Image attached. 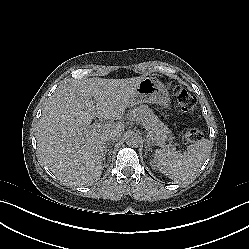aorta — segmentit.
<instances>
[{
  "instance_id": "aorta-1",
  "label": "aorta",
  "mask_w": 249,
  "mask_h": 249,
  "mask_svg": "<svg viewBox=\"0 0 249 249\" xmlns=\"http://www.w3.org/2000/svg\"><path fill=\"white\" fill-rule=\"evenodd\" d=\"M139 141H140V138L136 134H131L126 137V144L128 146H132V147L138 146Z\"/></svg>"
}]
</instances>
